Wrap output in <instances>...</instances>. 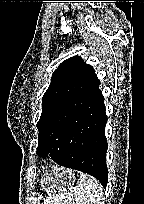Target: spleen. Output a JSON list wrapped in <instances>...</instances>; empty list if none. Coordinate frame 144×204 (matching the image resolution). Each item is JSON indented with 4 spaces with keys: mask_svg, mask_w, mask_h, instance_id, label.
<instances>
[{
    "mask_svg": "<svg viewBox=\"0 0 144 204\" xmlns=\"http://www.w3.org/2000/svg\"><path fill=\"white\" fill-rule=\"evenodd\" d=\"M102 188L97 180L86 174H81L78 184L73 188L50 195L45 204H102Z\"/></svg>",
    "mask_w": 144,
    "mask_h": 204,
    "instance_id": "1",
    "label": "spleen"
}]
</instances>
